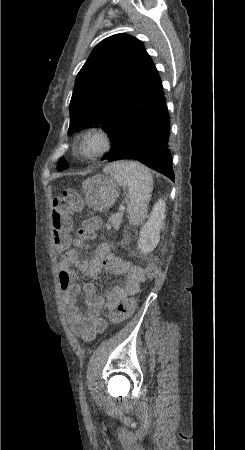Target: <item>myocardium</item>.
I'll list each match as a JSON object with an SVG mask.
<instances>
[{"mask_svg":"<svg viewBox=\"0 0 245 450\" xmlns=\"http://www.w3.org/2000/svg\"><path fill=\"white\" fill-rule=\"evenodd\" d=\"M98 140L100 145L97 150L87 152L86 145L92 141ZM112 147V139L109 133L102 128H93L85 131L78 140L77 149L81 156L87 159L97 158L105 155Z\"/></svg>","mask_w":245,"mask_h":450,"instance_id":"myocardium-1","label":"myocardium"}]
</instances>
